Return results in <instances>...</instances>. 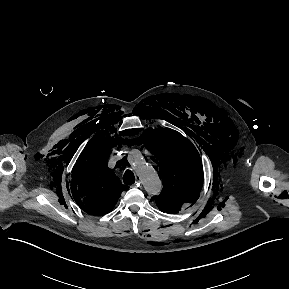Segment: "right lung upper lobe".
Here are the masks:
<instances>
[{
    "instance_id": "cb5924a9",
    "label": "right lung upper lobe",
    "mask_w": 289,
    "mask_h": 289,
    "mask_svg": "<svg viewBox=\"0 0 289 289\" xmlns=\"http://www.w3.org/2000/svg\"><path fill=\"white\" fill-rule=\"evenodd\" d=\"M122 141L125 140L118 139V144ZM113 144V138H92L78 158L73 171V198L86 213L94 216L110 212L121 191L126 188L107 166L108 154Z\"/></svg>"
}]
</instances>
